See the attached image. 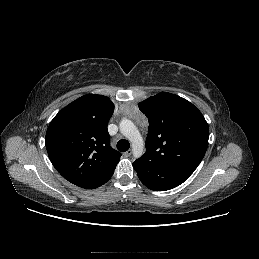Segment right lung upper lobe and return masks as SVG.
Returning a JSON list of instances; mask_svg holds the SVG:
<instances>
[{
  "label": "right lung upper lobe",
  "instance_id": "1",
  "mask_svg": "<svg viewBox=\"0 0 259 259\" xmlns=\"http://www.w3.org/2000/svg\"><path fill=\"white\" fill-rule=\"evenodd\" d=\"M114 111L103 95H84L53 118L45 144L50 161L69 182L94 189L114 173L121 153L110 146L107 124Z\"/></svg>",
  "mask_w": 259,
  "mask_h": 259
}]
</instances>
